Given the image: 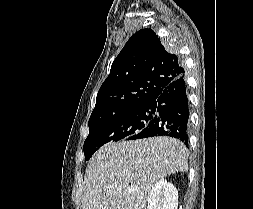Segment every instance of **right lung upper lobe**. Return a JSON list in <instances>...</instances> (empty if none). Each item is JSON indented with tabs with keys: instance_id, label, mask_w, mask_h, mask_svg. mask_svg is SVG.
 Returning <instances> with one entry per match:
<instances>
[{
	"instance_id": "cb5924a9",
	"label": "right lung upper lobe",
	"mask_w": 253,
	"mask_h": 209,
	"mask_svg": "<svg viewBox=\"0 0 253 209\" xmlns=\"http://www.w3.org/2000/svg\"><path fill=\"white\" fill-rule=\"evenodd\" d=\"M183 73L178 57L166 51L155 32L142 29L132 35L112 63L89 120L150 104Z\"/></svg>"
}]
</instances>
